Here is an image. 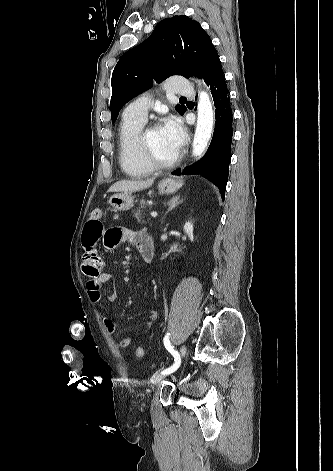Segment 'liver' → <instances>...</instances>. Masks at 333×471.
<instances>
[{
  "instance_id": "6515ba94",
  "label": "liver",
  "mask_w": 333,
  "mask_h": 471,
  "mask_svg": "<svg viewBox=\"0 0 333 471\" xmlns=\"http://www.w3.org/2000/svg\"><path fill=\"white\" fill-rule=\"evenodd\" d=\"M154 183V178L146 181L122 180L113 184L109 192H136L150 187Z\"/></svg>"
}]
</instances>
